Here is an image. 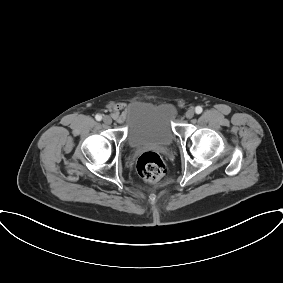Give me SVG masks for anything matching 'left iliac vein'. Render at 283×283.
<instances>
[{
  "instance_id": "4c4485c4",
  "label": "left iliac vein",
  "mask_w": 283,
  "mask_h": 283,
  "mask_svg": "<svg viewBox=\"0 0 283 283\" xmlns=\"http://www.w3.org/2000/svg\"><path fill=\"white\" fill-rule=\"evenodd\" d=\"M194 114H195V112H194L193 109H188L185 113V116H186V118L191 119V118H193Z\"/></svg>"
}]
</instances>
